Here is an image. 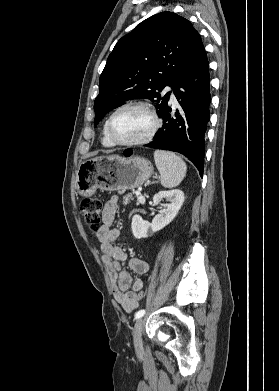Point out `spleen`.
Here are the masks:
<instances>
[{
    "instance_id": "spleen-1",
    "label": "spleen",
    "mask_w": 279,
    "mask_h": 391,
    "mask_svg": "<svg viewBox=\"0 0 279 391\" xmlns=\"http://www.w3.org/2000/svg\"><path fill=\"white\" fill-rule=\"evenodd\" d=\"M154 161L160 172V181L163 187L178 186L186 175L187 166L181 157L172 152L156 150Z\"/></svg>"
}]
</instances>
